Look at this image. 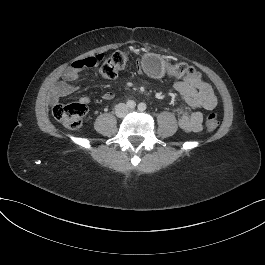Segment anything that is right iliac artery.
Listing matches in <instances>:
<instances>
[{
  "label": "right iliac artery",
  "instance_id": "1",
  "mask_svg": "<svg viewBox=\"0 0 265 265\" xmlns=\"http://www.w3.org/2000/svg\"><path fill=\"white\" fill-rule=\"evenodd\" d=\"M126 104L131 109H134L136 106V103L133 100H128Z\"/></svg>",
  "mask_w": 265,
  "mask_h": 265
}]
</instances>
